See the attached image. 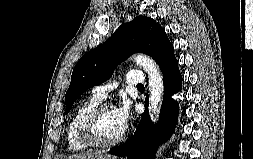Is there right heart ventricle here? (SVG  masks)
I'll return each instance as SVG.
<instances>
[{
    "label": "right heart ventricle",
    "mask_w": 253,
    "mask_h": 159,
    "mask_svg": "<svg viewBox=\"0 0 253 159\" xmlns=\"http://www.w3.org/2000/svg\"><path fill=\"white\" fill-rule=\"evenodd\" d=\"M101 101V98L91 94L87 99L82 101L73 112L66 129L69 150L82 151L88 148L80 139V127L87 113Z\"/></svg>",
    "instance_id": "right-heart-ventricle-1"
}]
</instances>
